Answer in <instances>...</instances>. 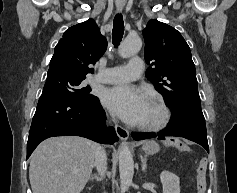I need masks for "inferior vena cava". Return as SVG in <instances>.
Returning <instances> with one entry per match:
<instances>
[{
  "mask_svg": "<svg viewBox=\"0 0 237 193\" xmlns=\"http://www.w3.org/2000/svg\"><path fill=\"white\" fill-rule=\"evenodd\" d=\"M107 158L104 150L98 145L95 153L94 165L96 166L98 173L104 175L107 169Z\"/></svg>",
  "mask_w": 237,
  "mask_h": 193,
  "instance_id": "obj_1",
  "label": "inferior vena cava"
}]
</instances>
